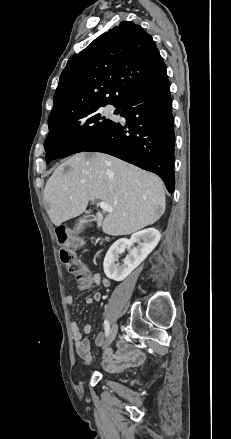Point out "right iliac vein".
Returning <instances> with one entry per match:
<instances>
[{"label": "right iliac vein", "mask_w": 231, "mask_h": 439, "mask_svg": "<svg viewBox=\"0 0 231 439\" xmlns=\"http://www.w3.org/2000/svg\"><path fill=\"white\" fill-rule=\"evenodd\" d=\"M117 331H118V325H117V323H114L110 329L105 346H109L112 343V341L115 339V337L117 335Z\"/></svg>", "instance_id": "obj_1"}]
</instances>
